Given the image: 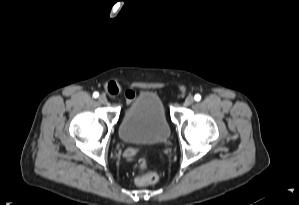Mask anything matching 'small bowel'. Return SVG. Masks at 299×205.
I'll list each match as a JSON object with an SVG mask.
<instances>
[{
    "label": "small bowel",
    "instance_id": "c3829d8e",
    "mask_svg": "<svg viewBox=\"0 0 299 205\" xmlns=\"http://www.w3.org/2000/svg\"><path fill=\"white\" fill-rule=\"evenodd\" d=\"M108 90L110 93H118L119 89L116 88V89H112L110 87H108ZM125 96H126V100L128 103H131L133 101V99L135 98V93L132 91V90H127L125 92ZM126 156L127 157H132L133 156V151L132 150H128L126 152Z\"/></svg>",
    "mask_w": 299,
    "mask_h": 205
}]
</instances>
